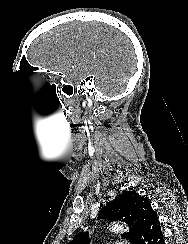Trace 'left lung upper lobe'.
Listing matches in <instances>:
<instances>
[{"mask_svg":"<svg viewBox=\"0 0 188 244\" xmlns=\"http://www.w3.org/2000/svg\"><path fill=\"white\" fill-rule=\"evenodd\" d=\"M150 201L133 191H126L114 200L108 202L99 212L98 219L124 221L130 231L122 235L133 244H141L149 216L153 213ZM89 233L80 232L69 244H89Z\"/></svg>","mask_w":188,"mask_h":244,"instance_id":"obj_1","label":"left lung upper lobe"}]
</instances>
